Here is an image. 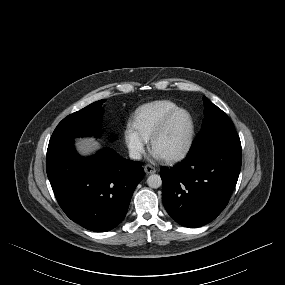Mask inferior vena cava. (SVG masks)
Masks as SVG:
<instances>
[{
    "label": "inferior vena cava",
    "mask_w": 285,
    "mask_h": 285,
    "mask_svg": "<svg viewBox=\"0 0 285 285\" xmlns=\"http://www.w3.org/2000/svg\"><path fill=\"white\" fill-rule=\"evenodd\" d=\"M129 156L131 159H134V160H140L142 158L141 153H139L137 151H130Z\"/></svg>",
    "instance_id": "obj_1"
}]
</instances>
